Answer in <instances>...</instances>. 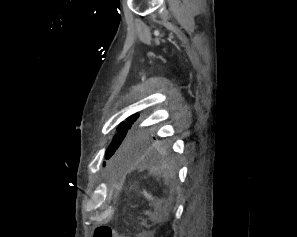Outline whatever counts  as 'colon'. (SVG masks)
<instances>
[{
	"label": "colon",
	"instance_id": "1",
	"mask_svg": "<svg viewBox=\"0 0 297 237\" xmlns=\"http://www.w3.org/2000/svg\"><path fill=\"white\" fill-rule=\"evenodd\" d=\"M94 237H129L115 232L109 226H100L95 230ZM148 237V236H144Z\"/></svg>",
	"mask_w": 297,
	"mask_h": 237
}]
</instances>
